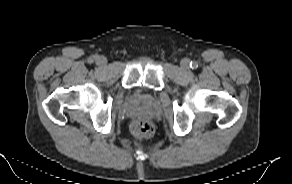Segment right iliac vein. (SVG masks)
Wrapping results in <instances>:
<instances>
[{"mask_svg": "<svg viewBox=\"0 0 292 184\" xmlns=\"http://www.w3.org/2000/svg\"><path fill=\"white\" fill-rule=\"evenodd\" d=\"M106 58L105 57H98L97 59H96V63L98 64V65H105L106 64Z\"/></svg>", "mask_w": 292, "mask_h": 184, "instance_id": "right-iliac-vein-1", "label": "right iliac vein"}]
</instances>
